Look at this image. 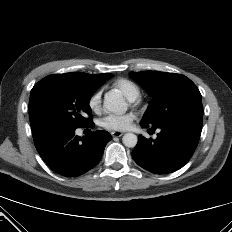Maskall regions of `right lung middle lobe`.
<instances>
[{"instance_id":"obj_1","label":"right lung middle lobe","mask_w":232,"mask_h":232,"mask_svg":"<svg viewBox=\"0 0 232 232\" xmlns=\"http://www.w3.org/2000/svg\"><path fill=\"white\" fill-rule=\"evenodd\" d=\"M112 74H106V79ZM104 82L81 72L49 75L31 90L29 100L32 133L51 128L77 129L92 123L89 99Z\"/></svg>"}]
</instances>
